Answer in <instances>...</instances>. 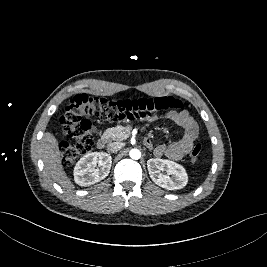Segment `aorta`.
Here are the masks:
<instances>
[{
  "label": "aorta",
  "mask_w": 267,
  "mask_h": 267,
  "mask_svg": "<svg viewBox=\"0 0 267 267\" xmlns=\"http://www.w3.org/2000/svg\"><path fill=\"white\" fill-rule=\"evenodd\" d=\"M129 155L134 160H138V159L141 158V152H140L139 149H136V148L131 149L130 152H129Z\"/></svg>",
  "instance_id": "aorta-1"
}]
</instances>
